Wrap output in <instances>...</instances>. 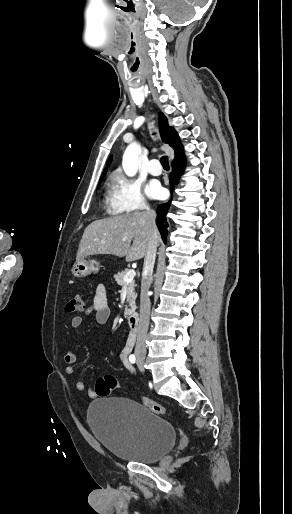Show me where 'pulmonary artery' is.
Wrapping results in <instances>:
<instances>
[{
  "instance_id": "e3ab8cb5",
  "label": "pulmonary artery",
  "mask_w": 292,
  "mask_h": 514,
  "mask_svg": "<svg viewBox=\"0 0 292 514\" xmlns=\"http://www.w3.org/2000/svg\"><path fill=\"white\" fill-rule=\"evenodd\" d=\"M159 163H160V160L158 157L153 156L150 158V160L147 164V169L152 175L160 174V172H159L160 164Z\"/></svg>"
}]
</instances>
